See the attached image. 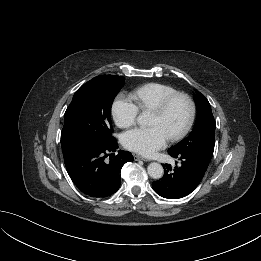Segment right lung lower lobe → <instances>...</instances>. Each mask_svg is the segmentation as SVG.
Instances as JSON below:
<instances>
[{
    "label": "right lung lower lobe",
    "mask_w": 261,
    "mask_h": 261,
    "mask_svg": "<svg viewBox=\"0 0 261 261\" xmlns=\"http://www.w3.org/2000/svg\"><path fill=\"white\" fill-rule=\"evenodd\" d=\"M116 139L106 143L84 144L63 152L67 172L84 194L91 197H108L120 187L122 166L134 161L128 151L119 150Z\"/></svg>",
    "instance_id": "obj_1"
}]
</instances>
